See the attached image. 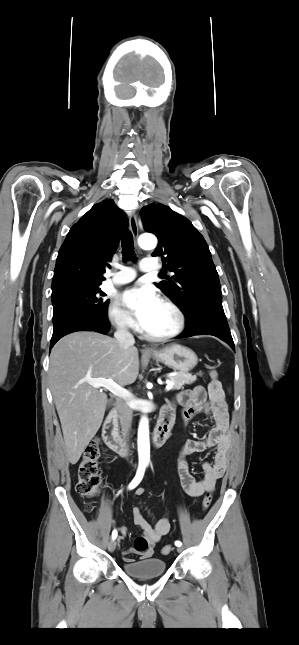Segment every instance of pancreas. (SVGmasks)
<instances>
[{
    "instance_id": "pancreas-1",
    "label": "pancreas",
    "mask_w": 299,
    "mask_h": 645,
    "mask_svg": "<svg viewBox=\"0 0 299 645\" xmlns=\"http://www.w3.org/2000/svg\"><path fill=\"white\" fill-rule=\"evenodd\" d=\"M201 375V374H200ZM196 376L188 373H179L176 376L169 377L170 381H173L172 390H179L185 384H192L196 381Z\"/></svg>"
}]
</instances>
